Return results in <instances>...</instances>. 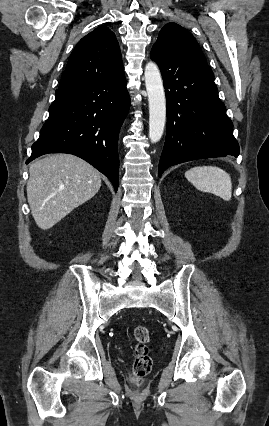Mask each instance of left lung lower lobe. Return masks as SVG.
<instances>
[{"label":"left lung lower lobe","instance_id":"0a47b994","mask_svg":"<svg viewBox=\"0 0 269 426\" xmlns=\"http://www.w3.org/2000/svg\"><path fill=\"white\" fill-rule=\"evenodd\" d=\"M150 57L163 77L167 101V135L159 177L170 166L202 158L239 155L233 124L219 99L214 74L192 56L153 46Z\"/></svg>","mask_w":269,"mask_h":426}]
</instances>
